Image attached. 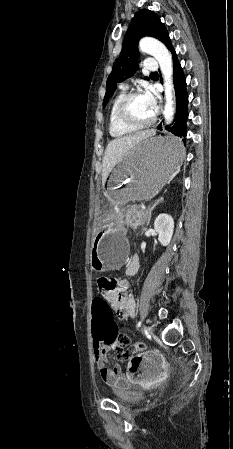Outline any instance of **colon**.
Instances as JSON below:
<instances>
[{"label": "colon", "mask_w": 233, "mask_h": 449, "mask_svg": "<svg viewBox=\"0 0 233 449\" xmlns=\"http://www.w3.org/2000/svg\"><path fill=\"white\" fill-rule=\"evenodd\" d=\"M92 319H90V332L93 334V349H112L117 346L121 351L119 358L130 359L128 370L135 374L136 368H142L145 359V346L142 342L131 344L127 335H118L114 321L113 310L108 301H92Z\"/></svg>", "instance_id": "1"}]
</instances>
